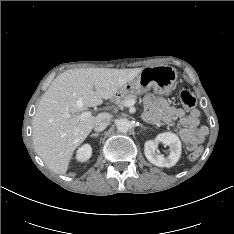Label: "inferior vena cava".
<instances>
[{
  "instance_id": "inferior-vena-cava-1",
  "label": "inferior vena cava",
  "mask_w": 234,
  "mask_h": 234,
  "mask_svg": "<svg viewBox=\"0 0 234 234\" xmlns=\"http://www.w3.org/2000/svg\"><path fill=\"white\" fill-rule=\"evenodd\" d=\"M110 121L111 116L109 114L101 113L96 116L93 128L96 132H101L109 125Z\"/></svg>"
}]
</instances>
